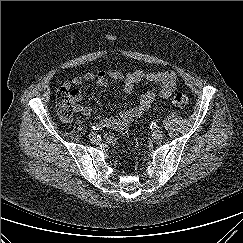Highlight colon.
<instances>
[{
    "instance_id": "5ec220e1",
    "label": "colon",
    "mask_w": 243,
    "mask_h": 243,
    "mask_svg": "<svg viewBox=\"0 0 243 243\" xmlns=\"http://www.w3.org/2000/svg\"><path fill=\"white\" fill-rule=\"evenodd\" d=\"M172 102L176 107L185 108L189 104V98L179 92L173 96ZM56 107L61 119L64 121L71 120L77 109V100L73 91L65 87L60 88L56 93Z\"/></svg>"
}]
</instances>
